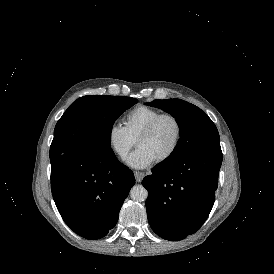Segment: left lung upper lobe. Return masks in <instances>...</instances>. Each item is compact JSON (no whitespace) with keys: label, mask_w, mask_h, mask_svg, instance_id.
<instances>
[{"label":"left lung upper lobe","mask_w":274,"mask_h":274,"mask_svg":"<svg viewBox=\"0 0 274 274\" xmlns=\"http://www.w3.org/2000/svg\"><path fill=\"white\" fill-rule=\"evenodd\" d=\"M147 105L171 114L180 128L179 141L164 163L179 160L199 150L221 148L215 124L197 106L180 99L154 100Z\"/></svg>","instance_id":"left-lung-upper-lobe-1"}]
</instances>
